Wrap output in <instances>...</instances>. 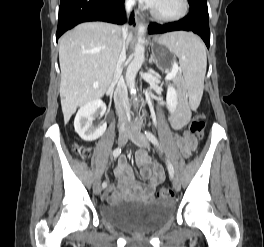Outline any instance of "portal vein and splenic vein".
Listing matches in <instances>:
<instances>
[{
    "mask_svg": "<svg viewBox=\"0 0 264 247\" xmlns=\"http://www.w3.org/2000/svg\"><path fill=\"white\" fill-rule=\"evenodd\" d=\"M178 71H179V67L176 63H174L171 71L167 74L166 79H172L177 74Z\"/></svg>",
    "mask_w": 264,
    "mask_h": 247,
    "instance_id": "1",
    "label": "portal vein and splenic vein"
}]
</instances>
